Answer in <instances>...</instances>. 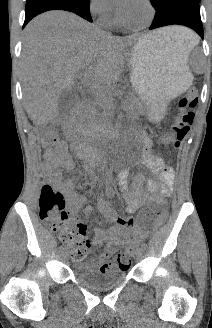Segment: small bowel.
Wrapping results in <instances>:
<instances>
[{"mask_svg":"<svg viewBox=\"0 0 212 328\" xmlns=\"http://www.w3.org/2000/svg\"><path fill=\"white\" fill-rule=\"evenodd\" d=\"M143 140L145 145L142 150V163L160 178L159 184L151 183L149 189L152 192L158 191L159 196L149 198L140 191L142 176L137 177L135 187L131 189L128 186L129 171L125 170L118 176V185L125 200L126 209L129 212L139 211L136 217H123L108 201L104 199L99 201V210L111 222V225L109 227L101 225L96 227L91 243L88 241V247L90 244L94 247H103L102 251L90 260L92 267L102 273H107L116 267L115 264L109 262V258L116 248L124 242L134 241L149 226L152 209L148 207V203L154 202L157 205H162L172 193L175 179L172 167L151 152L149 140L145 136H143ZM67 149L68 144L66 142H60L53 148H47L44 153L42 168L45 176L65 194L68 202L67 212L70 218L76 224H82L78 222L79 212L88 217L91 215V208L84 206L86 196L82 189L75 190L73 178L65 176V172L74 166L73 159ZM85 256L86 254L80 259L85 258Z\"/></svg>","mask_w":212,"mask_h":328,"instance_id":"c3829d8e","label":"small bowel"}]
</instances>
